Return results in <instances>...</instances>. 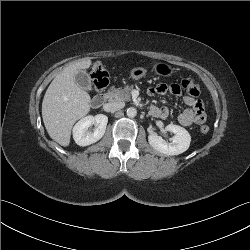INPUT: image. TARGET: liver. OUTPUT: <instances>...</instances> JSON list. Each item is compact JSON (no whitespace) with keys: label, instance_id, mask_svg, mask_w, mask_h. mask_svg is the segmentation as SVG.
<instances>
[{"label":"liver","instance_id":"liver-1","mask_svg":"<svg viewBox=\"0 0 250 250\" xmlns=\"http://www.w3.org/2000/svg\"><path fill=\"white\" fill-rule=\"evenodd\" d=\"M90 59L79 60L50 83L42 102V118L49 136L61 146L70 144L74 123L90 110V95L75 82L78 71L88 69Z\"/></svg>","mask_w":250,"mask_h":250}]
</instances>
